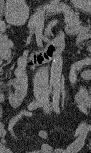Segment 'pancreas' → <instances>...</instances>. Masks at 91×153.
Segmentation results:
<instances>
[{
  "label": "pancreas",
  "instance_id": "cf45deb5",
  "mask_svg": "<svg viewBox=\"0 0 91 153\" xmlns=\"http://www.w3.org/2000/svg\"><path fill=\"white\" fill-rule=\"evenodd\" d=\"M57 11H64L65 21L71 29H76L80 25L78 15L71 12L67 6L52 3L38 8L35 14L31 16L28 23L31 32L37 33L42 29L46 13H55Z\"/></svg>",
  "mask_w": 91,
  "mask_h": 153
}]
</instances>
